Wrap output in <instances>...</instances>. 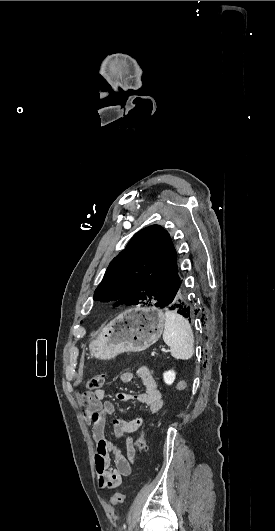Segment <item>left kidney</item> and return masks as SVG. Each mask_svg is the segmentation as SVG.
Listing matches in <instances>:
<instances>
[{
    "instance_id": "left-kidney-1",
    "label": "left kidney",
    "mask_w": 275,
    "mask_h": 531,
    "mask_svg": "<svg viewBox=\"0 0 275 531\" xmlns=\"http://www.w3.org/2000/svg\"><path fill=\"white\" fill-rule=\"evenodd\" d=\"M175 377L176 373H174V371H166V373H163L164 383H167V385H172L175 381Z\"/></svg>"
}]
</instances>
